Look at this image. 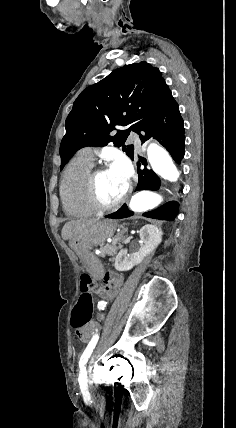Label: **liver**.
<instances>
[{"instance_id":"6515ba94","label":"liver","mask_w":236,"mask_h":428,"mask_svg":"<svg viewBox=\"0 0 236 428\" xmlns=\"http://www.w3.org/2000/svg\"><path fill=\"white\" fill-rule=\"evenodd\" d=\"M97 220H71V222H66L62 228L61 236L63 240H73V238H78L79 234L87 228V226H92Z\"/></svg>"}]
</instances>
